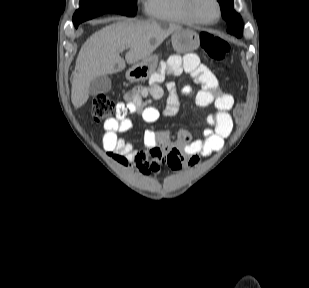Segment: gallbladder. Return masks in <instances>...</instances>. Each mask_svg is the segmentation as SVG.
I'll return each mask as SVG.
<instances>
[{
	"label": "gallbladder",
	"mask_w": 309,
	"mask_h": 288,
	"mask_svg": "<svg viewBox=\"0 0 309 288\" xmlns=\"http://www.w3.org/2000/svg\"><path fill=\"white\" fill-rule=\"evenodd\" d=\"M111 89V79L108 75H102L94 78L89 86V94L97 95L107 93Z\"/></svg>",
	"instance_id": "1"
}]
</instances>
